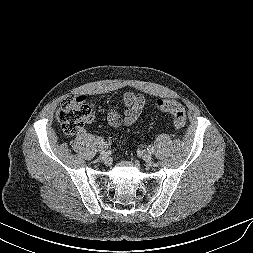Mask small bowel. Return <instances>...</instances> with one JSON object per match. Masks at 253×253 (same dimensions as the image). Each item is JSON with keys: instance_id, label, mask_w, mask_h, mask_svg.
<instances>
[{"instance_id": "obj_1", "label": "small bowel", "mask_w": 253, "mask_h": 253, "mask_svg": "<svg viewBox=\"0 0 253 253\" xmlns=\"http://www.w3.org/2000/svg\"><path fill=\"white\" fill-rule=\"evenodd\" d=\"M123 103L126 106L124 117H121L112 107L107 111L108 123L113 127L131 126L138 122L145 106V98L140 94L126 92L123 95Z\"/></svg>"}]
</instances>
